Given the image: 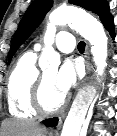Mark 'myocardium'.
<instances>
[{"label":"myocardium","instance_id":"1","mask_svg":"<svg viewBox=\"0 0 117 136\" xmlns=\"http://www.w3.org/2000/svg\"><path fill=\"white\" fill-rule=\"evenodd\" d=\"M43 87H44V77L43 74H39L32 93V107L35 110V112L42 116H50L63 110L67 103L66 96H63L60 104L55 108L48 109L45 107L42 101Z\"/></svg>","mask_w":117,"mask_h":136}]
</instances>
